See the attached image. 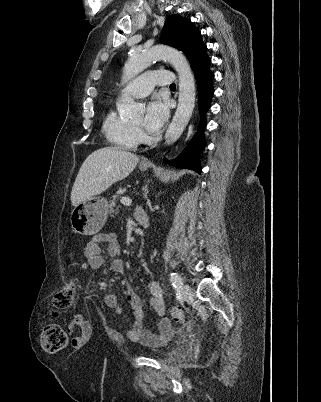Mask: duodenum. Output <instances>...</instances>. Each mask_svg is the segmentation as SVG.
Wrapping results in <instances>:
<instances>
[{
    "mask_svg": "<svg viewBox=\"0 0 321 402\" xmlns=\"http://www.w3.org/2000/svg\"><path fill=\"white\" fill-rule=\"evenodd\" d=\"M134 217L141 228L145 229L148 227V215L144 209L137 208L135 210Z\"/></svg>",
    "mask_w": 321,
    "mask_h": 402,
    "instance_id": "obj_1",
    "label": "duodenum"
}]
</instances>
